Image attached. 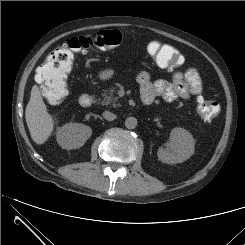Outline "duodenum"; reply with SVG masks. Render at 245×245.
Listing matches in <instances>:
<instances>
[{
	"label": "duodenum",
	"mask_w": 245,
	"mask_h": 245,
	"mask_svg": "<svg viewBox=\"0 0 245 245\" xmlns=\"http://www.w3.org/2000/svg\"><path fill=\"white\" fill-rule=\"evenodd\" d=\"M93 103V97L90 94H83L79 98V104L81 107L87 108L90 107ZM145 105H148V102H144Z\"/></svg>",
	"instance_id": "obj_1"
}]
</instances>
